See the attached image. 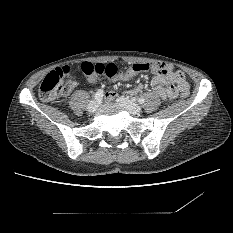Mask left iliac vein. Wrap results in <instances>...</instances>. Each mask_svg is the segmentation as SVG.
I'll return each mask as SVG.
<instances>
[{"label": "left iliac vein", "instance_id": "obj_1", "mask_svg": "<svg viewBox=\"0 0 233 233\" xmlns=\"http://www.w3.org/2000/svg\"><path fill=\"white\" fill-rule=\"evenodd\" d=\"M117 103L133 115L139 114L142 110L138 104L133 103L132 101L123 96L117 98Z\"/></svg>", "mask_w": 233, "mask_h": 233}]
</instances>
